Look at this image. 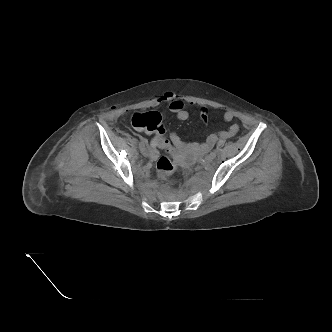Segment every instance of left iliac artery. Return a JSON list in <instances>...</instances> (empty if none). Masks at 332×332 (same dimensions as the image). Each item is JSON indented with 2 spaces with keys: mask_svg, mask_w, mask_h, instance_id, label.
<instances>
[{
  "mask_svg": "<svg viewBox=\"0 0 332 332\" xmlns=\"http://www.w3.org/2000/svg\"><path fill=\"white\" fill-rule=\"evenodd\" d=\"M216 154H217L216 151H212V152L210 153V155H211L212 157H214V158L216 157Z\"/></svg>",
  "mask_w": 332,
  "mask_h": 332,
  "instance_id": "obj_1",
  "label": "left iliac artery"
}]
</instances>
